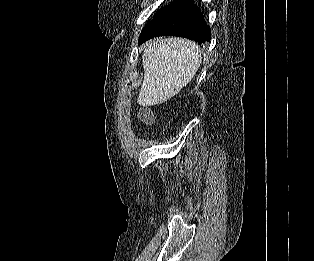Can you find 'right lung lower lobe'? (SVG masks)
Here are the masks:
<instances>
[{
    "label": "right lung lower lobe",
    "instance_id": "right-lung-lower-lobe-1",
    "mask_svg": "<svg viewBox=\"0 0 314 261\" xmlns=\"http://www.w3.org/2000/svg\"><path fill=\"white\" fill-rule=\"evenodd\" d=\"M180 36L209 42L211 31L194 0H178L153 18L142 30L139 44L157 36Z\"/></svg>",
    "mask_w": 314,
    "mask_h": 261
}]
</instances>
